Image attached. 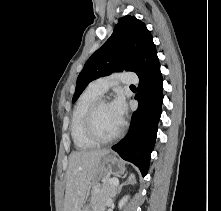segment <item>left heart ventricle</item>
I'll return each mask as SVG.
<instances>
[{
	"label": "left heart ventricle",
	"mask_w": 221,
	"mask_h": 211,
	"mask_svg": "<svg viewBox=\"0 0 221 211\" xmlns=\"http://www.w3.org/2000/svg\"><path fill=\"white\" fill-rule=\"evenodd\" d=\"M96 130L101 137H110L120 128L121 124L116 119L109 103L102 104L96 114Z\"/></svg>",
	"instance_id": "1"
}]
</instances>
